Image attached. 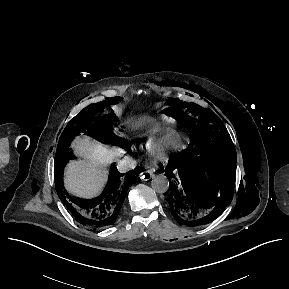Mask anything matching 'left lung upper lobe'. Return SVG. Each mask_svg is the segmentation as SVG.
<instances>
[{"mask_svg":"<svg viewBox=\"0 0 289 289\" xmlns=\"http://www.w3.org/2000/svg\"><path fill=\"white\" fill-rule=\"evenodd\" d=\"M168 112L187 128L193 147L210 146L217 166L228 168L236 161V150L227 129L220 118L211 110L194 103L168 99Z\"/></svg>","mask_w":289,"mask_h":289,"instance_id":"obj_1","label":"left lung upper lobe"}]
</instances>
